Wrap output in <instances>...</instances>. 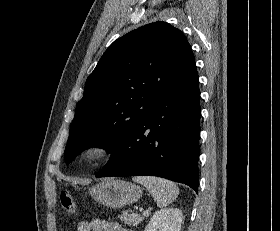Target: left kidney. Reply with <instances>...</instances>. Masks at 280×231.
Wrapping results in <instances>:
<instances>
[{"label":"left kidney","instance_id":"5707ae66","mask_svg":"<svg viewBox=\"0 0 280 231\" xmlns=\"http://www.w3.org/2000/svg\"><path fill=\"white\" fill-rule=\"evenodd\" d=\"M183 219L181 209L166 207L152 215L144 231H180Z\"/></svg>","mask_w":280,"mask_h":231}]
</instances>
